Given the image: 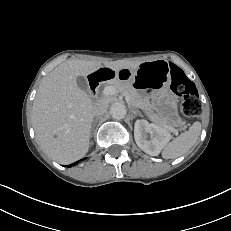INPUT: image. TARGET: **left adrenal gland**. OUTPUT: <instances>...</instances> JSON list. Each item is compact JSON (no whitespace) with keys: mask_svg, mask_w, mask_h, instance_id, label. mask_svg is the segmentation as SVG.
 Here are the masks:
<instances>
[{"mask_svg":"<svg viewBox=\"0 0 231 231\" xmlns=\"http://www.w3.org/2000/svg\"><path fill=\"white\" fill-rule=\"evenodd\" d=\"M131 111L133 112V114H134L135 116H137L138 114H139L140 116H142V114H140L137 110H135V109H133V108H131Z\"/></svg>","mask_w":231,"mask_h":231,"instance_id":"1","label":"left adrenal gland"}]
</instances>
